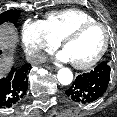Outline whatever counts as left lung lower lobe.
I'll return each instance as SVG.
<instances>
[{"mask_svg":"<svg viewBox=\"0 0 117 117\" xmlns=\"http://www.w3.org/2000/svg\"><path fill=\"white\" fill-rule=\"evenodd\" d=\"M110 74V65L100 63L91 72L78 75L66 94L77 103L94 102L105 93L110 81Z\"/></svg>","mask_w":117,"mask_h":117,"instance_id":"1","label":"left lung lower lobe"}]
</instances>
